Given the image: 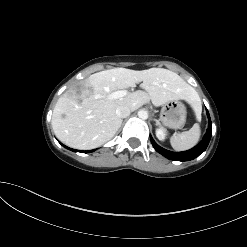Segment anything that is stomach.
Here are the masks:
<instances>
[{
    "instance_id": "stomach-1",
    "label": "stomach",
    "mask_w": 247,
    "mask_h": 247,
    "mask_svg": "<svg viewBox=\"0 0 247 247\" xmlns=\"http://www.w3.org/2000/svg\"><path fill=\"white\" fill-rule=\"evenodd\" d=\"M186 107L179 100L167 102L161 109L160 120L171 129H180L186 122Z\"/></svg>"
}]
</instances>
